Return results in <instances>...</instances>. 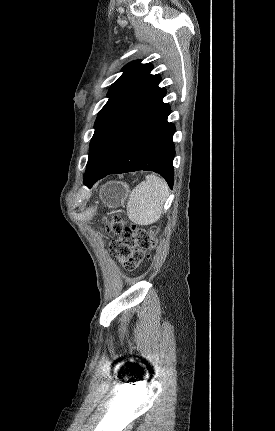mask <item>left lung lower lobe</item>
<instances>
[{
    "instance_id": "left-lung-lower-lobe-1",
    "label": "left lung lower lobe",
    "mask_w": 275,
    "mask_h": 431,
    "mask_svg": "<svg viewBox=\"0 0 275 431\" xmlns=\"http://www.w3.org/2000/svg\"><path fill=\"white\" fill-rule=\"evenodd\" d=\"M171 109L165 105L122 149L110 166L92 175L85 183L89 188L109 174L149 170L159 173L170 188L174 183L172 137L175 126L167 121Z\"/></svg>"
}]
</instances>
